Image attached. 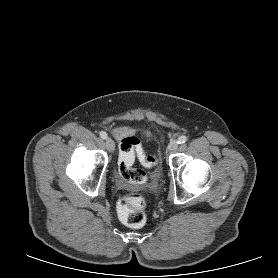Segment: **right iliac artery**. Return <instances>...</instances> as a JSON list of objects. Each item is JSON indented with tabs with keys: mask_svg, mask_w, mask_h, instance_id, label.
Listing matches in <instances>:
<instances>
[{
	"mask_svg": "<svg viewBox=\"0 0 278 278\" xmlns=\"http://www.w3.org/2000/svg\"><path fill=\"white\" fill-rule=\"evenodd\" d=\"M100 137H101L102 139H106V138H107V133L104 132V131H101V132H100Z\"/></svg>",
	"mask_w": 278,
	"mask_h": 278,
	"instance_id": "82829eb1",
	"label": "right iliac artery"
}]
</instances>
